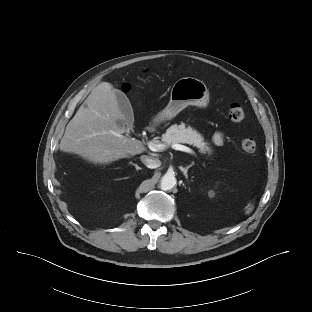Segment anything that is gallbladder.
Instances as JSON below:
<instances>
[{"mask_svg":"<svg viewBox=\"0 0 312 312\" xmlns=\"http://www.w3.org/2000/svg\"><path fill=\"white\" fill-rule=\"evenodd\" d=\"M116 98L118 101V106L122 112V114L125 117V120L128 123V130L127 132L133 131V109L132 106L130 104L129 99L127 98V96L121 92V91H117L116 92ZM120 123V121H119Z\"/></svg>","mask_w":312,"mask_h":312,"instance_id":"gallbladder-1","label":"gallbladder"}]
</instances>
